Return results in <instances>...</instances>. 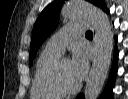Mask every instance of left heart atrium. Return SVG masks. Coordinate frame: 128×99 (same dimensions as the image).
<instances>
[{"instance_id": "1", "label": "left heart atrium", "mask_w": 128, "mask_h": 99, "mask_svg": "<svg viewBox=\"0 0 128 99\" xmlns=\"http://www.w3.org/2000/svg\"><path fill=\"white\" fill-rule=\"evenodd\" d=\"M70 64L74 77L80 82L88 71V59L85 53L80 49H75Z\"/></svg>"}]
</instances>
